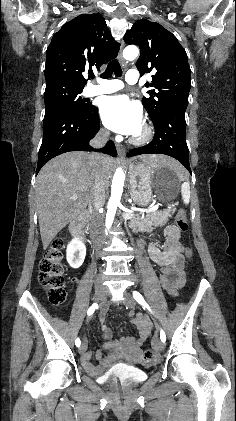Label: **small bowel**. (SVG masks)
<instances>
[{
  "mask_svg": "<svg viewBox=\"0 0 236 421\" xmlns=\"http://www.w3.org/2000/svg\"><path fill=\"white\" fill-rule=\"evenodd\" d=\"M165 234L168 237L169 241L171 243H174L177 246L178 250L180 251L181 250V244H180V241H179L180 240V231H179L178 227H176L175 225H168L165 228ZM73 282H75V280H73ZM138 327H139L140 333H141V341H140L139 344H141V342L149 335L150 324L146 321H140L138 323ZM86 354L90 356L89 353H86Z\"/></svg>",
  "mask_w": 236,
  "mask_h": 421,
  "instance_id": "small-bowel-1",
  "label": "small bowel"
}]
</instances>
